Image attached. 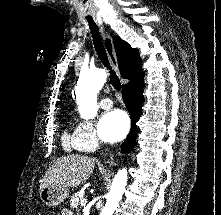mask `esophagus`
I'll list each match as a JSON object with an SVG mask.
<instances>
[{
    "label": "esophagus",
    "mask_w": 221,
    "mask_h": 215,
    "mask_svg": "<svg viewBox=\"0 0 221 215\" xmlns=\"http://www.w3.org/2000/svg\"><path fill=\"white\" fill-rule=\"evenodd\" d=\"M100 31L102 34V39H103L106 53L111 61L112 66L114 67L115 71L117 72V74H119L118 62H117V58H116V55H115V52L113 49L111 37H110V34L108 33V31L106 30L105 26L102 23H100Z\"/></svg>",
    "instance_id": "34e87169"
}]
</instances>
